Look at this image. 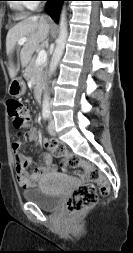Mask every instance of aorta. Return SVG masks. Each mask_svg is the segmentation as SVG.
Here are the masks:
<instances>
[{
  "label": "aorta",
  "instance_id": "1",
  "mask_svg": "<svg viewBox=\"0 0 133 253\" xmlns=\"http://www.w3.org/2000/svg\"><path fill=\"white\" fill-rule=\"evenodd\" d=\"M59 24H60L59 36L56 41V48L54 50V53L50 62L49 75H52L54 73L65 49L68 32H67V24H66V14H65L64 9L61 11ZM43 112L50 113V102H49L48 95H45L44 97Z\"/></svg>",
  "mask_w": 133,
  "mask_h": 253
}]
</instances>
